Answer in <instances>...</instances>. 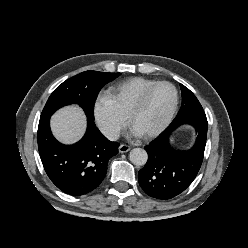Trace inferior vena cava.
<instances>
[{"instance_id":"1","label":"inferior vena cava","mask_w":248,"mask_h":248,"mask_svg":"<svg viewBox=\"0 0 248 248\" xmlns=\"http://www.w3.org/2000/svg\"><path fill=\"white\" fill-rule=\"evenodd\" d=\"M103 134L110 140L115 141L119 138L120 133L118 130L113 128H107L103 131Z\"/></svg>"}]
</instances>
